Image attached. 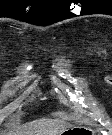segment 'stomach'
<instances>
[{
  "instance_id": "1",
  "label": "stomach",
  "mask_w": 112,
  "mask_h": 135,
  "mask_svg": "<svg viewBox=\"0 0 112 135\" xmlns=\"http://www.w3.org/2000/svg\"><path fill=\"white\" fill-rule=\"evenodd\" d=\"M63 135H85V134H92L90 130H87L85 128L76 127L71 128L62 133Z\"/></svg>"
}]
</instances>
